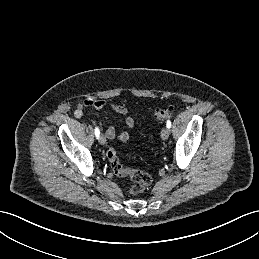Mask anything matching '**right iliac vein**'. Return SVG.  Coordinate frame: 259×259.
I'll return each mask as SVG.
<instances>
[{"instance_id":"right-iliac-vein-1","label":"right iliac vein","mask_w":259,"mask_h":259,"mask_svg":"<svg viewBox=\"0 0 259 259\" xmlns=\"http://www.w3.org/2000/svg\"><path fill=\"white\" fill-rule=\"evenodd\" d=\"M99 143H100L101 145H105V144H106V138H105L104 135H100V136H99Z\"/></svg>"}]
</instances>
